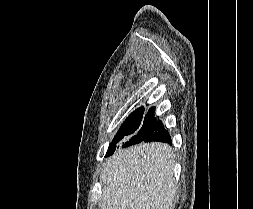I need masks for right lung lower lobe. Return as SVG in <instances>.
<instances>
[{
	"instance_id": "obj_1",
	"label": "right lung lower lobe",
	"mask_w": 253,
	"mask_h": 209,
	"mask_svg": "<svg viewBox=\"0 0 253 209\" xmlns=\"http://www.w3.org/2000/svg\"><path fill=\"white\" fill-rule=\"evenodd\" d=\"M154 109V108H151ZM143 142H165L171 144V137L168 131L164 128V125L161 121L156 122V126L149 133L143 134L142 136Z\"/></svg>"
}]
</instances>
